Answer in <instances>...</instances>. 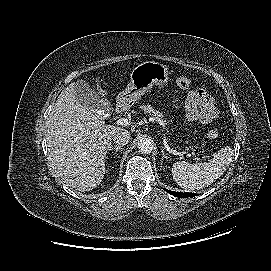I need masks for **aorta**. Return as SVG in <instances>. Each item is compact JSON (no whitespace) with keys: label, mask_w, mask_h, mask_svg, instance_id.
Here are the masks:
<instances>
[{"label":"aorta","mask_w":271,"mask_h":271,"mask_svg":"<svg viewBox=\"0 0 271 271\" xmlns=\"http://www.w3.org/2000/svg\"><path fill=\"white\" fill-rule=\"evenodd\" d=\"M138 149L141 153L148 154L153 149V142L149 138H142L138 142Z\"/></svg>","instance_id":"1"}]
</instances>
